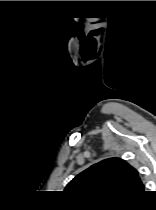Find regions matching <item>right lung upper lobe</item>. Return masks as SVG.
Returning <instances> with one entry per match:
<instances>
[{
  "instance_id": "1",
  "label": "right lung upper lobe",
  "mask_w": 156,
  "mask_h": 210,
  "mask_svg": "<svg viewBox=\"0 0 156 210\" xmlns=\"http://www.w3.org/2000/svg\"><path fill=\"white\" fill-rule=\"evenodd\" d=\"M66 192L91 201L122 202L144 193L139 173L121 158H109L74 177Z\"/></svg>"
}]
</instances>
